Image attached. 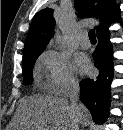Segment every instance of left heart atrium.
<instances>
[{"instance_id":"left-heart-atrium-1","label":"left heart atrium","mask_w":123,"mask_h":130,"mask_svg":"<svg viewBox=\"0 0 123 130\" xmlns=\"http://www.w3.org/2000/svg\"><path fill=\"white\" fill-rule=\"evenodd\" d=\"M76 64L81 73H86L90 69V62L86 57H79L76 59Z\"/></svg>"}]
</instances>
